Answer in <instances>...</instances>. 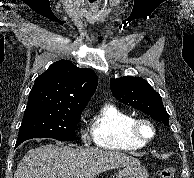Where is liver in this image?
<instances>
[{"label": "liver", "instance_id": "6515ba94", "mask_svg": "<svg viewBox=\"0 0 194 178\" xmlns=\"http://www.w3.org/2000/svg\"><path fill=\"white\" fill-rule=\"evenodd\" d=\"M140 164L117 151L42 145L30 149L18 164L14 178H94L102 172Z\"/></svg>", "mask_w": 194, "mask_h": 178}]
</instances>
